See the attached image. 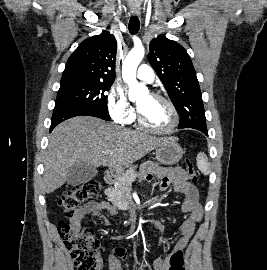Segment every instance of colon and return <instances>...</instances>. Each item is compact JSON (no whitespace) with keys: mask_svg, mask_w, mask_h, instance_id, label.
Masks as SVG:
<instances>
[{"mask_svg":"<svg viewBox=\"0 0 267 270\" xmlns=\"http://www.w3.org/2000/svg\"><path fill=\"white\" fill-rule=\"evenodd\" d=\"M186 174L190 182L197 181V173L190 160H186ZM98 191V183L88 181L65 192L61 196L59 204L66 214L73 215ZM58 232L78 270H99L101 265L100 245L91 229L83 227L82 223L73 225L71 222L61 221L58 225ZM184 262L183 250L175 251L170 256L168 270H184Z\"/></svg>","mask_w":267,"mask_h":270,"instance_id":"5ec220e1","label":"colon"}]
</instances>
